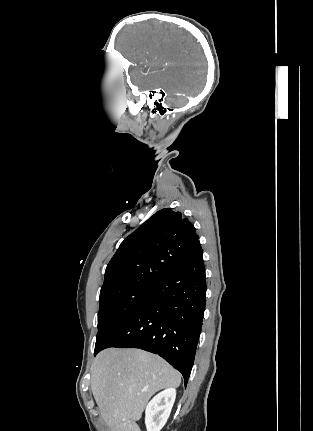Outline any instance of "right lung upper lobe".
<instances>
[{
  "instance_id": "1",
  "label": "right lung upper lobe",
  "mask_w": 313,
  "mask_h": 431,
  "mask_svg": "<svg viewBox=\"0 0 313 431\" xmlns=\"http://www.w3.org/2000/svg\"><path fill=\"white\" fill-rule=\"evenodd\" d=\"M198 242L195 228L181 212H156L119 246L107 265L100 297L131 288L157 286Z\"/></svg>"
}]
</instances>
